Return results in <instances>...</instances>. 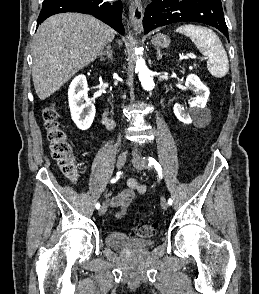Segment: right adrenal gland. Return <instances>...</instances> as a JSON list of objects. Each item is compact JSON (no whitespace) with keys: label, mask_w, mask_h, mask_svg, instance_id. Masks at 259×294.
<instances>
[{"label":"right adrenal gland","mask_w":259,"mask_h":294,"mask_svg":"<svg viewBox=\"0 0 259 294\" xmlns=\"http://www.w3.org/2000/svg\"><path fill=\"white\" fill-rule=\"evenodd\" d=\"M105 56L106 58L113 60V54L110 45H107L106 50L100 53L101 60H105Z\"/></svg>","instance_id":"right-adrenal-gland-1"}]
</instances>
